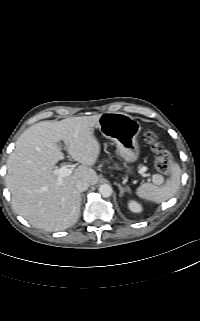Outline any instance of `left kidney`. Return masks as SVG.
Here are the masks:
<instances>
[{"label": "left kidney", "mask_w": 200, "mask_h": 321, "mask_svg": "<svg viewBox=\"0 0 200 321\" xmlns=\"http://www.w3.org/2000/svg\"><path fill=\"white\" fill-rule=\"evenodd\" d=\"M128 208L134 213H140L142 211V206L136 201H129Z\"/></svg>", "instance_id": "5707ae66"}]
</instances>
